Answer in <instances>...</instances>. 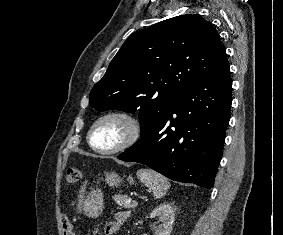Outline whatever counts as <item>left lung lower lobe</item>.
<instances>
[{
  "label": "left lung lower lobe",
  "mask_w": 283,
  "mask_h": 235,
  "mask_svg": "<svg viewBox=\"0 0 283 235\" xmlns=\"http://www.w3.org/2000/svg\"><path fill=\"white\" fill-rule=\"evenodd\" d=\"M232 80L226 62L186 87L166 115L118 156L179 182L210 189L230 120Z\"/></svg>",
  "instance_id": "1"
}]
</instances>
